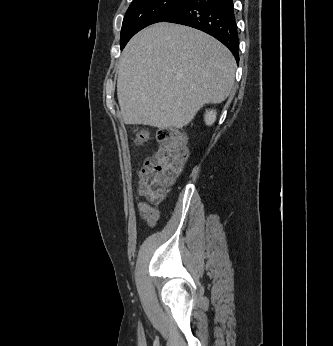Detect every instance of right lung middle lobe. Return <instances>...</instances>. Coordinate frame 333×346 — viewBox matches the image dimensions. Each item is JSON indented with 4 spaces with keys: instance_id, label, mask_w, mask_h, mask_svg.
I'll return each instance as SVG.
<instances>
[{
    "instance_id": "obj_1",
    "label": "right lung middle lobe",
    "mask_w": 333,
    "mask_h": 346,
    "mask_svg": "<svg viewBox=\"0 0 333 346\" xmlns=\"http://www.w3.org/2000/svg\"><path fill=\"white\" fill-rule=\"evenodd\" d=\"M184 0H133L122 24L120 47L123 49L131 37L148 25L162 22Z\"/></svg>"
}]
</instances>
